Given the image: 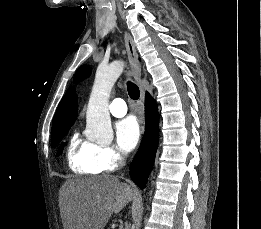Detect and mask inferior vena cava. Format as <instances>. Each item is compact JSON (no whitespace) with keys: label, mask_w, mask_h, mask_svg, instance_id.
Returning a JSON list of instances; mask_svg holds the SVG:
<instances>
[{"label":"inferior vena cava","mask_w":261,"mask_h":229,"mask_svg":"<svg viewBox=\"0 0 261 229\" xmlns=\"http://www.w3.org/2000/svg\"><path fill=\"white\" fill-rule=\"evenodd\" d=\"M118 165H119V167H124L125 163H124V161H122V159H120Z\"/></svg>","instance_id":"602c4592"}]
</instances>
